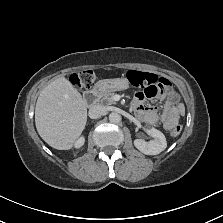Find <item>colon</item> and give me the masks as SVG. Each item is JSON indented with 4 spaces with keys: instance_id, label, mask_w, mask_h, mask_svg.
Returning <instances> with one entry per match:
<instances>
[{
    "instance_id": "obj_1",
    "label": "colon",
    "mask_w": 223,
    "mask_h": 223,
    "mask_svg": "<svg viewBox=\"0 0 223 223\" xmlns=\"http://www.w3.org/2000/svg\"><path fill=\"white\" fill-rule=\"evenodd\" d=\"M128 79L133 85L149 89L150 92L154 95L161 93L166 88V82L163 80V78H160L159 76L152 73L132 70L128 72ZM94 80L95 73L91 70L73 73L70 76V82L77 89L89 88L94 82ZM181 131L182 126L175 125L170 130V134L172 136H177L181 133Z\"/></svg>"
}]
</instances>
